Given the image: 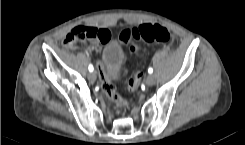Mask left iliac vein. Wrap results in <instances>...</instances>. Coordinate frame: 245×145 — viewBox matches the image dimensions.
Wrapping results in <instances>:
<instances>
[{"label": "left iliac vein", "instance_id": "obj_1", "mask_svg": "<svg viewBox=\"0 0 245 145\" xmlns=\"http://www.w3.org/2000/svg\"><path fill=\"white\" fill-rule=\"evenodd\" d=\"M146 84L148 86H152L155 84V77L153 75H149L146 79Z\"/></svg>", "mask_w": 245, "mask_h": 145}]
</instances>
